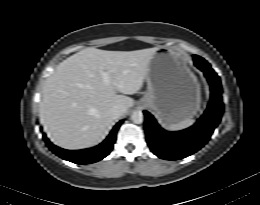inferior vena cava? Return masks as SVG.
Returning a JSON list of instances; mask_svg holds the SVG:
<instances>
[{
    "label": "inferior vena cava",
    "instance_id": "inferior-vena-cava-1",
    "mask_svg": "<svg viewBox=\"0 0 260 205\" xmlns=\"http://www.w3.org/2000/svg\"><path fill=\"white\" fill-rule=\"evenodd\" d=\"M110 115L117 119L125 113V107L122 105H115L109 110Z\"/></svg>",
    "mask_w": 260,
    "mask_h": 205
}]
</instances>
